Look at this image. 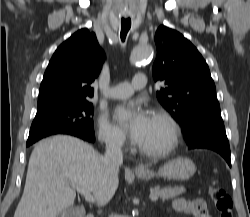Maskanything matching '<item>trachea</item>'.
Segmentation results:
<instances>
[{
	"mask_svg": "<svg viewBox=\"0 0 250 217\" xmlns=\"http://www.w3.org/2000/svg\"><path fill=\"white\" fill-rule=\"evenodd\" d=\"M131 27V20L127 19V20H124L122 19L121 20V33H120V37H121V40L124 42L125 41V38L127 36V33L129 31Z\"/></svg>",
	"mask_w": 250,
	"mask_h": 217,
	"instance_id": "trachea-1",
	"label": "trachea"
}]
</instances>
